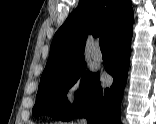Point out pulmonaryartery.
I'll list each match as a JSON object with an SVG mask.
<instances>
[{"label":"pulmonary artery","instance_id":"1","mask_svg":"<svg viewBox=\"0 0 156 124\" xmlns=\"http://www.w3.org/2000/svg\"><path fill=\"white\" fill-rule=\"evenodd\" d=\"M92 58L95 61H98V62L102 60V53H101V51L98 48H94L93 49V51H92Z\"/></svg>","mask_w":156,"mask_h":124}]
</instances>
